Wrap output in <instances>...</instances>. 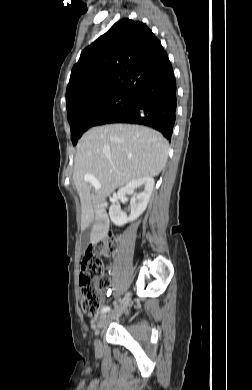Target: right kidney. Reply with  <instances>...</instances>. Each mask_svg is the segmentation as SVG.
<instances>
[{"mask_svg":"<svg viewBox=\"0 0 252 390\" xmlns=\"http://www.w3.org/2000/svg\"><path fill=\"white\" fill-rule=\"evenodd\" d=\"M154 179L152 177H143L133 180L126 184L124 188L118 191V196L126 194L132 195L130 200V215L127 216L120 208L118 203L110 206L109 215L111 221L117 226H123L128 222L136 220L146 209L153 187ZM142 188L139 194H134V190Z\"/></svg>","mask_w":252,"mask_h":390,"instance_id":"obj_1","label":"right kidney"}]
</instances>
